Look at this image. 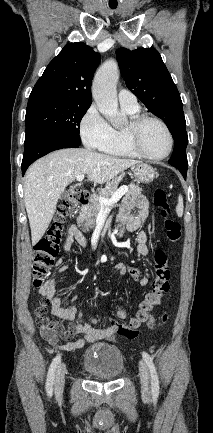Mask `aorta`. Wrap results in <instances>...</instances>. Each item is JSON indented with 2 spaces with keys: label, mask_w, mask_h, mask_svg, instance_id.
Masks as SVG:
<instances>
[{
  "label": "aorta",
  "mask_w": 213,
  "mask_h": 433,
  "mask_svg": "<svg viewBox=\"0 0 213 433\" xmlns=\"http://www.w3.org/2000/svg\"><path fill=\"white\" fill-rule=\"evenodd\" d=\"M118 79L119 69L116 61L108 60L98 69L92 86V95L99 111L113 126L120 125L123 120L118 110Z\"/></svg>",
  "instance_id": "obj_1"
}]
</instances>
